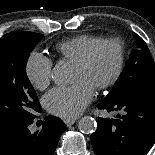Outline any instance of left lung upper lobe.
<instances>
[{
  "label": "left lung upper lobe",
  "mask_w": 155,
  "mask_h": 155,
  "mask_svg": "<svg viewBox=\"0 0 155 155\" xmlns=\"http://www.w3.org/2000/svg\"><path fill=\"white\" fill-rule=\"evenodd\" d=\"M136 48L106 99H113L126 92L155 84V64L144 40L134 33Z\"/></svg>",
  "instance_id": "5c2ea615"
}]
</instances>
